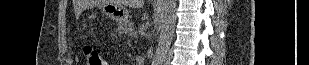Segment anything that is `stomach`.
Here are the masks:
<instances>
[{"label":"stomach","mask_w":309,"mask_h":65,"mask_svg":"<svg viewBox=\"0 0 309 65\" xmlns=\"http://www.w3.org/2000/svg\"><path fill=\"white\" fill-rule=\"evenodd\" d=\"M101 12L120 27L128 25L127 10L122 4L106 3L101 7Z\"/></svg>","instance_id":"1"}]
</instances>
